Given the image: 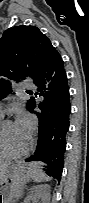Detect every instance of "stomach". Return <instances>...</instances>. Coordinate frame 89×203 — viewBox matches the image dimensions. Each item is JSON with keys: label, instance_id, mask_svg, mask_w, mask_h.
Here are the masks:
<instances>
[{"label": "stomach", "instance_id": "stomach-1", "mask_svg": "<svg viewBox=\"0 0 89 203\" xmlns=\"http://www.w3.org/2000/svg\"><path fill=\"white\" fill-rule=\"evenodd\" d=\"M28 179V176L21 172L17 166H10L2 180V192L4 194V203H15V200L21 196L22 186Z\"/></svg>", "mask_w": 89, "mask_h": 203}]
</instances>
